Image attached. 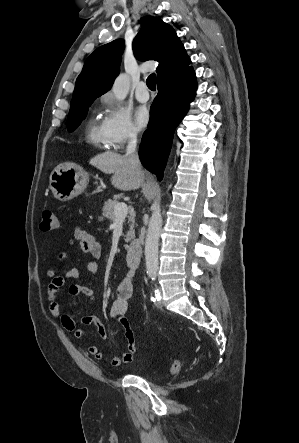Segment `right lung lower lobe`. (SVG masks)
Segmentation results:
<instances>
[{"label": "right lung lower lobe", "instance_id": "obj_1", "mask_svg": "<svg viewBox=\"0 0 299 443\" xmlns=\"http://www.w3.org/2000/svg\"><path fill=\"white\" fill-rule=\"evenodd\" d=\"M196 87L193 69L183 76L158 81V95L151 105L148 129L144 132L139 148L142 164L158 180L163 177L174 130L187 113L195 97Z\"/></svg>", "mask_w": 299, "mask_h": 443}]
</instances>
